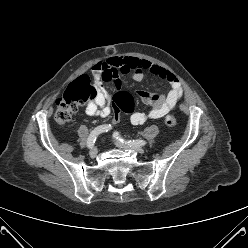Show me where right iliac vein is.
Returning a JSON list of instances; mask_svg holds the SVG:
<instances>
[{
    "label": "right iliac vein",
    "instance_id": "63e3f726",
    "mask_svg": "<svg viewBox=\"0 0 248 248\" xmlns=\"http://www.w3.org/2000/svg\"><path fill=\"white\" fill-rule=\"evenodd\" d=\"M97 153H98V150H97L96 147H94V148H92V149L90 150L89 155H90L91 158H95L96 155H97Z\"/></svg>",
    "mask_w": 248,
    "mask_h": 248
}]
</instances>
